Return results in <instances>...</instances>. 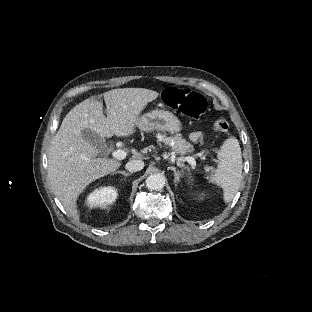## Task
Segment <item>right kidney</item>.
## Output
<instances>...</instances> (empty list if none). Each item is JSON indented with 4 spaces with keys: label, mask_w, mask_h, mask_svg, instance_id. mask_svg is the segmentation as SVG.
<instances>
[{
    "label": "right kidney",
    "mask_w": 312,
    "mask_h": 312,
    "mask_svg": "<svg viewBox=\"0 0 312 312\" xmlns=\"http://www.w3.org/2000/svg\"><path fill=\"white\" fill-rule=\"evenodd\" d=\"M118 196L117 190L112 186L100 187L91 192L86 198V205L90 208H106L113 204Z\"/></svg>",
    "instance_id": "right-kidney-1"
}]
</instances>
